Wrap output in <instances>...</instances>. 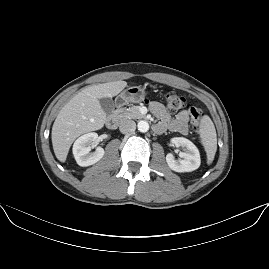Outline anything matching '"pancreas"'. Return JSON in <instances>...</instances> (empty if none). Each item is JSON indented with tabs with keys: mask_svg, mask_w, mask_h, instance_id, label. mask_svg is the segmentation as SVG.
Segmentation results:
<instances>
[{
	"mask_svg": "<svg viewBox=\"0 0 269 269\" xmlns=\"http://www.w3.org/2000/svg\"><path fill=\"white\" fill-rule=\"evenodd\" d=\"M114 115L120 120L126 119H140L143 117L138 106H131L129 108H120L114 111Z\"/></svg>",
	"mask_w": 269,
	"mask_h": 269,
	"instance_id": "pancreas-1",
	"label": "pancreas"
}]
</instances>
